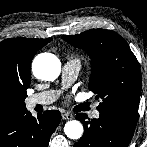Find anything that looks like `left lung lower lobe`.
<instances>
[{
	"label": "left lung lower lobe",
	"instance_id": "1",
	"mask_svg": "<svg viewBox=\"0 0 147 147\" xmlns=\"http://www.w3.org/2000/svg\"><path fill=\"white\" fill-rule=\"evenodd\" d=\"M86 114L79 113V119L84 125L82 138L74 147H127L134 134V129L117 118L100 114L98 119L85 121Z\"/></svg>",
	"mask_w": 147,
	"mask_h": 147
}]
</instances>
